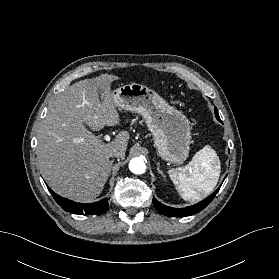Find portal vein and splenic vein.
Here are the masks:
<instances>
[{"label": "portal vein and splenic vein", "instance_id": "1", "mask_svg": "<svg viewBox=\"0 0 279 279\" xmlns=\"http://www.w3.org/2000/svg\"><path fill=\"white\" fill-rule=\"evenodd\" d=\"M104 139H105L106 141H110V136H109V135H105V136H104Z\"/></svg>", "mask_w": 279, "mask_h": 279}]
</instances>
